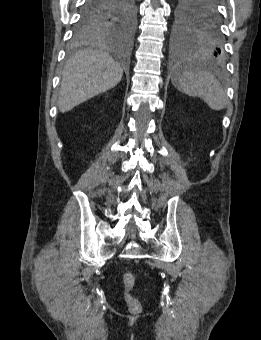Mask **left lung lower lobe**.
<instances>
[{
  "label": "left lung lower lobe",
  "mask_w": 261,
  "mask_h": 340,
  "mask_svg": "<svg viewBox=\"0 0 261 340\" xmlns=\"http://www.w3.org/2000/svg\"><path fill=\"white\" fill-rule=\"evenodd\" d=\"M204 5L207 7V8H211V7H217V0H206L204 1Z\"/></svg>",
  "instance_id": "0a47b994"
}]
</instances>
